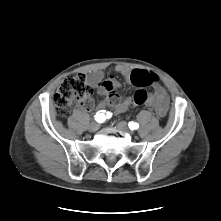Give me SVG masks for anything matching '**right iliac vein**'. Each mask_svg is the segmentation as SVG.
Here are the masks:
<instances>
[{"instance_id": "obj_1", "label": "right iliac vein", "mask_w": 221, "mask_h": 221, "mask_svg": "<svg viewBox=\"0 0 221 221\" xmlns=\"http://www.w3.org/2000/svg\"><path fill=\"white\" fill-rule=\"evenodd\" d=\"M100 125L97 122H92L89 127L88 130L90 132H96L99 129Z\"/></svg>"}]
</instances>
